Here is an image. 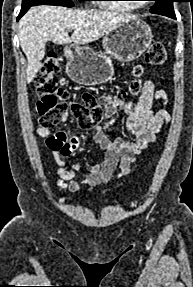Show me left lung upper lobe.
Masks as SVG:
<instances>
[{
	"label": "left lung upper lobe",
	"instance_id": "left-lung-upper-lobe-1",
	"mask_svg": "<svg viewBox=\"0 0 193 287\" xmlns=\"http://www.w3.org/2000/svg\"><path fill=\"white\" fill-rule=\"evenodd\" d=\"M156 1L154 6L150 9L151 13L171 16L174 15L173 2L176 0H153Z\"/></svg>",
	"mask_w": 193,
	"mask_h": 287
}]
</instances>
